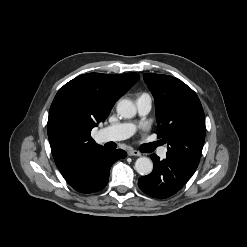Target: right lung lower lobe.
<instances>
[{"label": "right lung lower lobe", "instance_id": "1", "mask_svg": "<svg viewBox=\"0 0 247 247\" xmlns=\"http://www.w3.org/2000/svg\"><path fill=\"white\" fill-rule=\"evenodd\" d=\"M123 150L101 149L79 160L65 180L81 193H92L103 189L109 179L111 165L120 158H125Z\"/></svg>", "mask_w": 247, "mask_h": 247}]
</instances>
